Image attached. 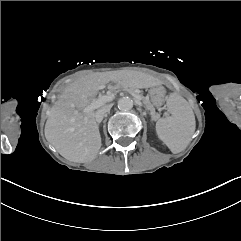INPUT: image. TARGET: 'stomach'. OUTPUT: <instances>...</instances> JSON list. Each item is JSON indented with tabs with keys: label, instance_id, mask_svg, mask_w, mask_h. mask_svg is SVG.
Returning <instances> with one entry per match:
<instances>
[{
	"label": "stomach",
	"instance_id": "obj_1",
	"mask_svg": "<svg viewBox=\"0 0 241 241\" xmlns=\"http://www.w3.org/2000/svg\"><path fill=\"white\" fill-rule=\"evenodd\" d=\"M149 96L154 106H161L164 103L165 90L161 86L154 87L149 90Z\"/></svg>",
	"mask_w": 241,
	"mask_h": 241
}]
</instances>
